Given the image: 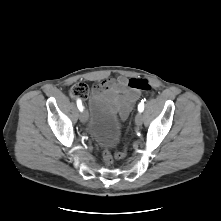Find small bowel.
I'll return each instance as SVG.
<instances>
[{"label": "small bowel", "instance_id": "small-bowel-1", "mask_svg": "<svg viewBox=\"0 0 221 221\" xmlns=\"http://www.w3.org/2000/svg\"><path fill=\"white\" fill-rule=\"evenodd\" d=\"M96 97H106L118 111L121 120L126 119L133 104L139 98V93L128 85V79L117 76L113 79L99 82L93 89Z\"/></svg>", "mask_w": 221, "mask_h": 221}]
</instances>
